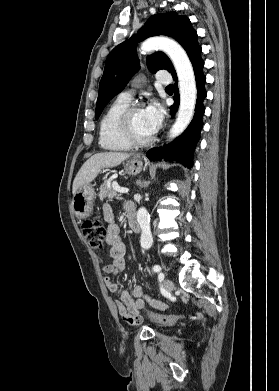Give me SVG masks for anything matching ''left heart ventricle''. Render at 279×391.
I'll use <instances>...</instances> for the list:
<instances>
[{
    "instance_id": "left-heart-ventricle-1",
    "label": "left heart ventricle",
    "mask_w": 279,
    "mask_h": 391,
    "mask_svg": "<svg viewBox=\"0 0 279 391\" xmlns=\"http://www.w3.org/2000/svg\"><path fill=\"white\" fill-rule=\"evenodd\" d=\"M132 126L135 135L140 139L147 138L154 132L146 117L144 109H140L133 114Z\"/></svg>"
}]
</instances>
